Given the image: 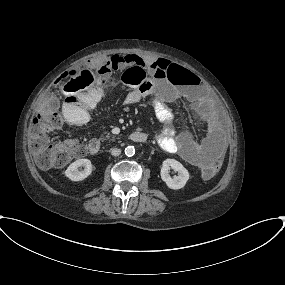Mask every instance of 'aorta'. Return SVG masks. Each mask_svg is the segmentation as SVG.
I'll return each mask as SVG.
<instances>
[{
    "label": "aorta",
    "instance_id": "1",
    "mask_svg": "<svg viewBox=\"0 0 285 285\" xmlns=\"http://www.w3.org/2000/svg\"><path fill=\"white\" fill-rule=\"evenodd\" d=\"M135 154V148L134 146H127L125 148V155L128 156V157H131Z\"/></svg>",
    "mask_w": 285,
    "mask_h": 285
}]
</instances>
